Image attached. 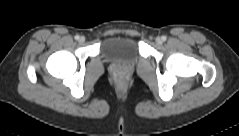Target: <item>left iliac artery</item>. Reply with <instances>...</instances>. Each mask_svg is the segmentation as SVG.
I'll return each instance as SVG.
<instances>
[{"instance_id":"1","label":"left iliac artery","mask_w":239,"mask_h":136,"mask_svg":"<svg viewBox=\"0 0 239 136\" xmlns=\"http://www.w3.org/2000/svg\"><path fill=\"white\" fill-rule=\"evenodd\" d=\"M167 37L166 36H162V40L166 41Z\"/></svg>"}]
</instances>
